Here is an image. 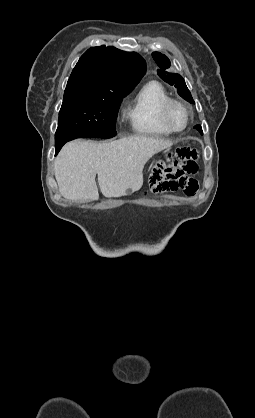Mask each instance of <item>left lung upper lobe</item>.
Wrapping results in <instances>:
<instances>
[{"label":"left lung upper lobe","instance_id":"5c2ea615","mask_svg":"<svg viewBox=\"0 0 255 418\" xmlns=\"http://www.w3.org/2000/svg\"><path fill=\"white\" fill-rule=\"evenodd\" d=\"M152 57L159 66L158 75L170 85H174L177 88L178 94L188 101L189 103L194 104V100L191 96L190 91L188 90L183 77L177 73H169L166 71L170 67V60L159 52H153ZM200 133H202V128H196Z\"/></svg>","mask_w":255,"mask_h":418}]
</instances>
